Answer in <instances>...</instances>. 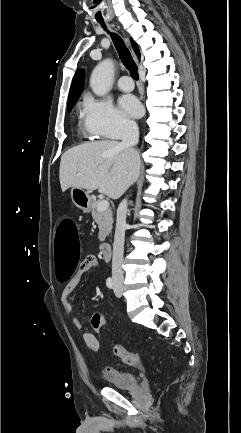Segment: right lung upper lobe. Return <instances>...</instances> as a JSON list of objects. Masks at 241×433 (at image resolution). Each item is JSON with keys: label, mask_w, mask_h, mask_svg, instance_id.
I'll list each match as a JSON object with an SVG mask.
<instances>
[{"label": "right lung upper lobe", "mask_w": 241, "mask_h": 433, "mask_svg": "<svg viewBox=\"0 0 241 433\" xmlns=\"http://www.w3.org/2000/svg\"><path fill=\"white\" fill-rule=\"evenodd\" d=\"M133 48L137 55H139V49L134 41H132ZM84 85V72L83 70H78L74 77L69 91L68 107L73 106L77 99L79 98Z\"/></svg>", "instance_id": "cb5924a9"}]
</instances>
